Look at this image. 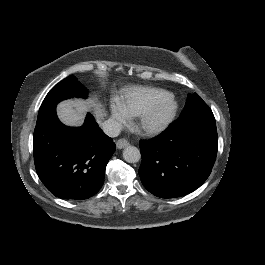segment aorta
Here are the masks:
<instances>
[{"label": "aorta", "instance_id": "aorta-1", "mask_svg": "<svg viewBox=\"0 0 265 265\" xmlns=\"http://www.w3.org/2000/svg\"><path fill=\"white\" fill-rule=\"evenodd\" d=\"M122 154L124 160L129 163H135L140 159V151L135 146L125 147Z\"/></svg>", "mask_w": 265, "mask_h": 265}]
</instances>
